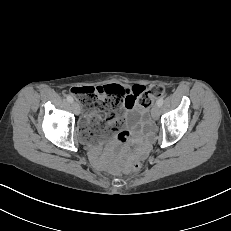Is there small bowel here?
I'll use <instances>...</instances> for the list:
<instances>
[{"instance_id":"obj_1","label":"small bowel","mask_w":231,"mask_h":231,"mask_svg":"<svg viewBox=\"0 0 231 231\" xmlns=\"http://www.w3.org/2000/svg\"><path fill=\"white\" fill-rule=\"evenodd\" d=\"M126 89L128 90V95H130V96L134 95L133 90H132L133 88L132 89L126 88ZM124 106L126 107V111H127L128 129L131 132L134 133L137 130V122H138V119H139V112L136 109V101L133 103L132 106H128L127 105V100H126ZM105 115L106 114H105L104 111H99V112H97V113H95L93 115H90L88 117L87 123L92 124L97 128V125L95 124V121L104 118ZM113 138H114V134L111 133V131H110V123H109L108 132L104 135V140L105 141H111V140H113ZM120 142H124V141L118 140V138H117V140L111 141L110 145L115 146ZM136 142L139 145V152L141 154H144L149 148V143L147 141L142 140L141 138H138L136 140ZM101 152H102V145H98V146L94 147V149L92 150V154H93L94 158L97 161H100Z\"/></svg>"}]
</instances>
